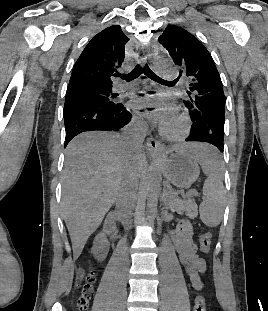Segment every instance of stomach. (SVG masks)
<instances>
[{
	"instance_id": "1",
	"label": "stomach",
	"mask_w": 268,
	"mask_h": 311,
	"mask_svg": "<svg viewBox=\"0 0 268 311\" xmlns=\"http://www.w3.org/2000/svg\"><path fill=\"white\" fill-rule=\"evenodd\" d=\"M174 152L158 158V164L167 181L178 188H187L199 177L200 170L189 146L175 148Z\"/></svg>"
}]
</instances>
